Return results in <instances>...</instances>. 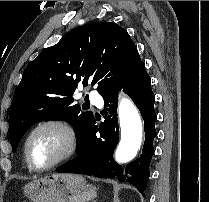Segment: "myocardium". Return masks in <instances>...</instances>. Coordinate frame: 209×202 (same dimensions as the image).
Masks as SVG:
<instances>
[{
	"label": "myocardium",
	"instance_id": "obj_1",
	"mask_svg": "<svg viewBox=\"0 0 209 202\" xmlns=\"http://www.w3.org/2000/svg\"><path fill=\"white\" fill-rule=\"evenodd\" d=\"M45 128H53L57 130L63 141L61 150L57 156L49 164L45 166H37L31 159L29 151V143L31 138L40 130ZM79 149V139L73 127L66 121L59 118L44 119L35 124L27 133L23 142L24 158L28 167L35 172H44L57 167L58 165L68 161L75 156Z\"/></svg>",
	"mask_w": 209,
	"mask_h": 202
}]
</instances>
